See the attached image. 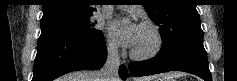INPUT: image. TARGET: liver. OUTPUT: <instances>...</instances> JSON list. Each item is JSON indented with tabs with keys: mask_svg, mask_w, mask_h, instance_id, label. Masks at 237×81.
<instances>
[{
	"mask_svg": "<svg viewBox=\"0 0 237 81\" xmlns=\"http://www.w3.org/2000/svg\"><path fill=\"white\" fill-rule=\"evenodd\" d=\"M100 71H76L60 78V81H100ZM151 78H137L135 81H150Z\"/></svg>",
	"mask_w": 237,
	"mask_h": 81,
	"instance_id": "6515ba94",
	"label": "liver"
}]
</instances>
